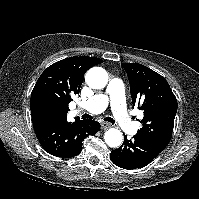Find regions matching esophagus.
Listing matches in <instances>:
<instances>
[{"instance_id": "esophagus-1", "label": "esophagus", "mask_w": 199, "mask_h": 199, "mask_svg": "<svg viewBox=\"0 0 199 199\" xmlns=\"http://www.w3.org/2000/svg\"><path fill=\"white\" fill-rule=\"evenodd\" d=\"M110 127H111V124H109L107 122H102L101 123V129L102 130H106V129L110 128Z\"/></svg>"}]
</instances>
